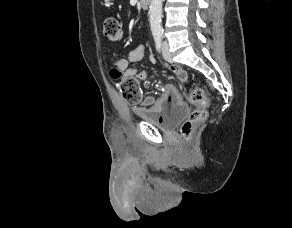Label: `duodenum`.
I'll list each match as a JSON object with an SVG mask.
<instances>
[{
    "label": "duodenum",
    "instance_id": "obj_1",
    "mask_svg": "<svg viewBox=\"0 0 292 228\" xmlns=\"http://www.w3.org/2000/svg\"><path fill=\"white\" fill-rule=\"evenodd\" d=\"M151 0H139V4L142 8H148Z\"/></svg>",
    "mask_w": 292,
    "mask_h": 228
}]
</instances>
